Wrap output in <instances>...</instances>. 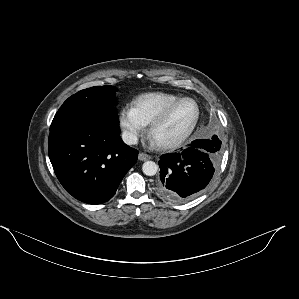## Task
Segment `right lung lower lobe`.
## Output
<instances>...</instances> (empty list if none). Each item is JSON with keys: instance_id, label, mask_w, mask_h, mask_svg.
<instances>
[{"instance_id": "obj_1", "label": "right lung lower lobe", "mask_w": 299, "mask_h": 299, "mask_svg": "<svg viewBox=\"0 0 299 299\" xmlns=\"http://www.w3.org/2000/svg\"><path fill=\"white\" fill-rule=\"evenodd\" d=\"M48 153L65 190L89 204L108 201L137 161L138 151L120 138L118 124L78 120L50 130Z\"/></svg>"}]
</instances>
